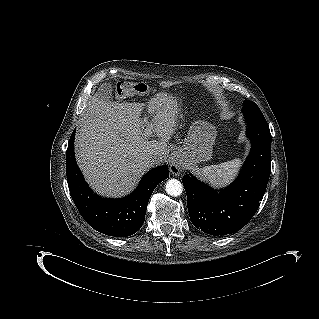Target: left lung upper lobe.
<instances>
[{
  "label": "left lung upper lobe",
  "mask_w": 319,
  "mask_h": 319,
  "mask_svg": "<svg viewBox=\"0 0 319 319\" xmlns=\"http://www.w3.org/2000/svg\"><path fill=\"white\" fill-rule=\"evenodd\" d=\"M243 113L249 127L269 129L261 110L253 101H244Z\"/></svg>",
  "instance_id": "obj_1"
}]
</instances>
